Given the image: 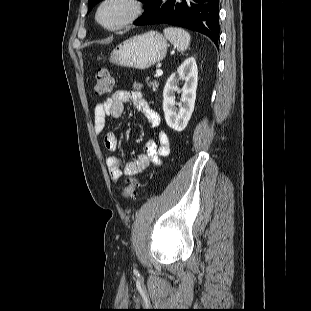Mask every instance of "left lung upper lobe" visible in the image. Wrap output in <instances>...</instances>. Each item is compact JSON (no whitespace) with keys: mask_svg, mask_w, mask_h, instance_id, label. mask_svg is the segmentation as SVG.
Segmentation results:
<instances>
[{"mask_svg":"<svg viewBox=\"0 0 311 311\" xmlns=\"http://www.w3.org/2000/svg\"><path fill=\"white\" fill-rule=\"evenodd\" d=\"M99 1L101 0H88V10H90ZM139 1H142L143 3L147 2V0H139Z\"/></svg>","mask_w":311,"mask_h":311,"instance_id":"obj_1","label":"left lung upper lobe"}]
</instances>
